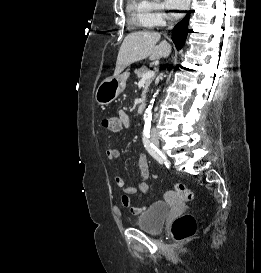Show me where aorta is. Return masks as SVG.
<instances>
[{
    "mask_svg": "<svg viewBox=\"0 0 261 273\" xmlns=\"http://www.w3.org/2000/svg\"><path fill=\"white\" fill-rule=\"evenodd\" d=\"M158 91L154 94L153 99L150 101V105H148L145 114H144V121H145V127H150L151 125V120H152V108H153V103L155 101L154 97Z\"/></svg>",
    "mask_w": 261,
    "mask_h": 273,
    "instance_id": "obj_1",
    "label": "aorta"
}]
</instances>
